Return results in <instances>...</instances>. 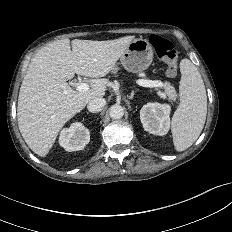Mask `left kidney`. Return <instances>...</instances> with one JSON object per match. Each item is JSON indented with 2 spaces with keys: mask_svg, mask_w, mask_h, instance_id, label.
<instances>
[{
  "mask_svg": "<svg viewBox=\"0 0 232 232\" xmlns=\"http://www.w3.org/2000/svg\"><path fill=\"white\" fill-rule=\"evenodd\" d=\"M170 111L168 104L147 103L140 110V120L144 130L154 135H165L170 128Z\"/></svg>",
  "mask_w": 232,
  "mask_h": 232,
  "instance_id": "obj_1",
  "label": "left kidney"
}]
</instances>
